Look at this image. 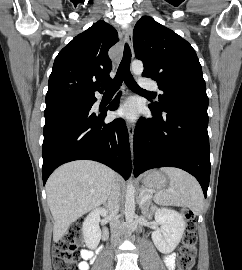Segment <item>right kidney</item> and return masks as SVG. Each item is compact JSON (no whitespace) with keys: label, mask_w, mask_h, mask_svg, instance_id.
<instances>
[{"label":"right kidney","mask_w":242,"mask_h":270,"mask_svg":"<svg viewBox=\"0 0 242 270\" xmlns=\"http://www.w3.org/2000/svg\"><path fill=\"white\" fill-rule=\"evenodd\" d=\"M107 210L105 208L94 209L85 218L82 225V233L84 241L88 248L95 249L101 239V229L99 227L100 216H106Z\"/></svg>","instance_id":"ca27d5eb"}]
</instances>
